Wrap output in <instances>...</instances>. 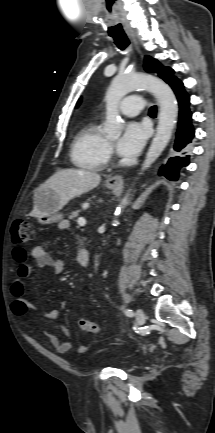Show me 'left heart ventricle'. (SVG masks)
Segmentation results:
<instances>
[{
  "instance_id": "b2bd125f",
  "label": "left heart ventricle",
  "mask_w": 215,
  "mask_h": 433,
  "mask_svg": "<svg viewBox=\"0 0 215 433\" xmlns=\"http://www.w3.org/2000/svg\"><path fill=\"white\" fill-rule=\"evenodd\" d=\"M112 141H115L116 140V138H113V139H111Z\"/></svg>"
}]
</instances>
